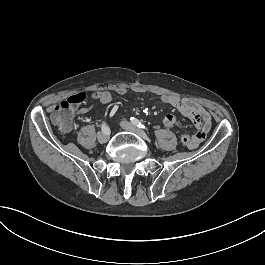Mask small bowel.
Returning a JSON list of instances; mask_svg holds the SVG:
<instances>
[{
    "label": "small bowel",
    "instance_id": "obj_1",
    "mask_svg": "<svg viewBox=\"0 0 265 265\" xmlns=\"http://www.w3.org/2000/svg\"><path fill=\"white\" fill-rule=\"evenodd\" d=\"M133 91L136 93L142 92L140 88H135ZM114 92L119 95H126L130 92V89L125 86H118L114 89ZM160 99L163 104L174 107L180 114L192 120L197 128V132L193 136L195 140L190 143V146L196 149L199 143L205 140L210 131L212 122L210 113L201 104L188 98L164 94ZM99 100L101 103L107 104L111 102L112 94L108 91L102 92L99 96ZM85 111L86 109L84 108L79 110V112ZM162 122L166 128L181 126L180 122L172 114H167Z\"/></svg>",
    "mask_w": 265,
    "mask_h": 265
}]
</instances>
